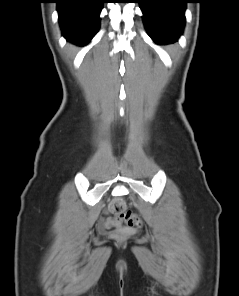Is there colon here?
I'll return each mask as SVG.
<instances>
[{"label": "colon", "mask_w": 239, "mask_h": 296, "mask_svg": "<svg viewBox=\"0 0 239 296\" xmlns=\"http://www.w3.org/2000/svg\"><path fill=\"white\" fill-rule=\"evenodd\" d=\"M109 211L115 216V225L125 223L133 228H138L142 225L140 217L127 210L126 202L123 198H114L109 204Z\"/></svg>", "instance_id": "obj_1"}]
</instances>
